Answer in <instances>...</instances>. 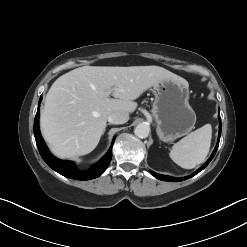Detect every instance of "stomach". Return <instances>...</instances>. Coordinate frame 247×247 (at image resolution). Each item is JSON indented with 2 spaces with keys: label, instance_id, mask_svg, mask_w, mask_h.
Masks as SVG:
<instances>
[{
  "label": "stomach",
  "instance_id": "0dacf381",
  "mask_svg": "<svg viewBox=\"0 0 247 247\" xmlns=\"http://www.w3.org/2000/svg\"><path fill=\"white\" fill-rule=\"evenodd\" d=\"M155 100L152 114L157 135L164 142H173L188 134L196 123V114L189 104V85L181 78H165L152 89Z\"/></svg>",
  "mask_w": 247,
  "mask_h": 247
}]
</instances>
